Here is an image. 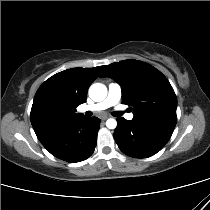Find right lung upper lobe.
I'll return each mask as SVG.
<instances>
[{"instance_id":"obj_1","label":"right lung upper lobe","mask_w":210,"mask_h":210,"mask_svg":"<svg viewBox=\"0 0 210 210\" xmlns=\"http://www.w3.org/2000/svg\"><path fill=\"white\" fill-rule=\"evenodd\" d=\"M102 68L103 66L64 70L47 79L39 87L30 114L38 139L83 116L76 113V108L86 101L87 90ZM47 117L51 120L44 124Z\"/></svg>"}]
</instances>
